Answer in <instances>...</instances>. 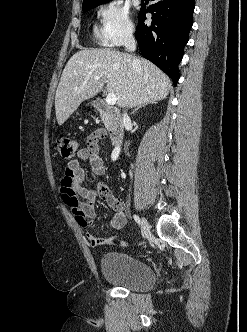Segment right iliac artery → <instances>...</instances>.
<instances>
[{
    "instance_id": "82829eb1",
    "label": "right iliac artery",
    "mask_w": 247,
    "mask_h": 332,
    "mask_svg": "<svg viewBox=\"0 0 247 332\" xmlns=\"http://www.w3.org/2000/svg\"><path fill=\"white\" fill-rule=\"evenodd\" d=\"M133 218H134V220L136 221V223H137L138 225L141 224L140 218H139L137 215H133Z\"/></svg>"
}]
</instances>
